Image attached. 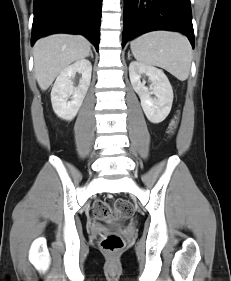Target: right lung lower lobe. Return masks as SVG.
<instances>
[{"label": "right lung lower lobe", "mask_w": 231, "mask_h": 281, "mask_svg": "<svg viewBox=\"0 0 231 281\" xmlns=\"http://www.w3.org/2000/svg\"><path fill=\"white\" fill-rule=\"evenodd\" d=\"M102 0H34L31 44L55 33L81 34L98 50Z\"/></svg>", "instance_id": "1"}]
</instances>
